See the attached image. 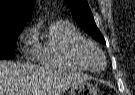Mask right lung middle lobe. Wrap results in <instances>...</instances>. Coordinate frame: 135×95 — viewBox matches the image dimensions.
<instances>
[{
  "label": "right lung middle lobe",
  "instance_id": "dd1d6c3e",
  "mask_svg": "<svg viewBox=\"0 0 135 95\" xmlns=\"http://www.w3.org/2000/svg\"><path fill=\"white\" fill-rule=\"evenodd\" d=\"M21 31H13L0 35V60L15 57L14 43Z\"/></svg>",
  "mask_w": 135,
  "mask_h": 95
}]
</instances>
